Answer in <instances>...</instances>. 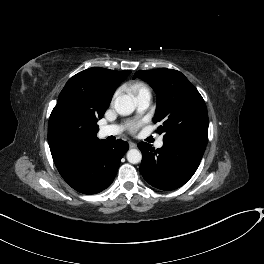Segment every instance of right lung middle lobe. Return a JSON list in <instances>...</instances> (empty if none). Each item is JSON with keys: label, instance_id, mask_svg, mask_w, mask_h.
Segmentation results:
<instances>
[{"label": "right lung middle lobe", "instance_id": "dd1d6c3e", "mask_svg": "<svg viewBox=\"0 0 264 264\" xmlns=\"http://www.w3.org/2000/svg\"><path fill=\"white\" fill-rule=\"evenodd\" d=\"M84 117H85V114L83 112H80V111H70L67 114V120L70 122L80 121ZM96 123H97V120L93 119V124L96 125Z\"/></svg>", "mask_w": 264, "mask_h": 264}]
</instances>
